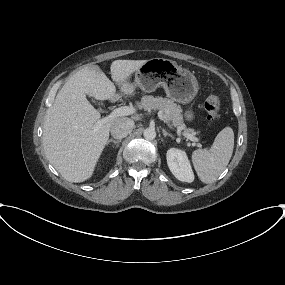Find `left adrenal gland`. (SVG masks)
<instances>
[{"label":"left adrenal gland","instance_id":"left-adrenal-gland-1","mask_svg":"<svg viewBox=\"0 0 285 285\" xmlns=\"http://www.w3.org/2000/svg\"><path fill=\"white\" fill-rule=\"evenodd\" d=\"M163 135H164V137L169 136V137H171L172 139H174L173 135L169 134L165 129H163Z\"/></svg>","mask_w":285,"mask_h":285}]
</instances>
